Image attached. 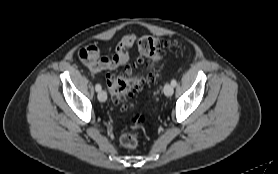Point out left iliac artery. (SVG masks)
Masks as SVG:
<instances>
[{
    "label": "left iliac artery",
    "mask_w": 278,
    "mask_h": 174,
    "mask_svg": "<svg viewBox=\"0 0 278 174\" xmlns=\"http://www.w3.org/2000/svg\"><path fill=\"white\" fill-rule=\"evenodd\" d=\"M171 85H172L173 87H175V86L177 85V81H176L175 79H173V80L171 81Z\"/></svg>",
    "instance_id": "44dca946"
}]
</instances>
